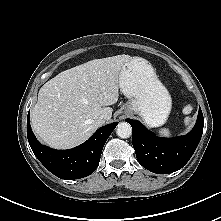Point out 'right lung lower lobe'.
<instances>
[{"mask_svg":"<svg viewBox=\"0 0 221 221\" xmlns=\"http://www.w3.org/2000/svg\"><path fill=\"white\" fill-rule=\"evenodd\" d=\"M117 124L99 128L86 142L73 149L54 150L38 142L31 130L28 113L27 137L33 153L47 170L61 179H79L89 176L98 167L104 144Z\"/></svg>","mask_w":221,"mask_h":221,"instance_id":"right-lung-lower-lobe-1","label":"right lung lower lobe"}]
</instances>
